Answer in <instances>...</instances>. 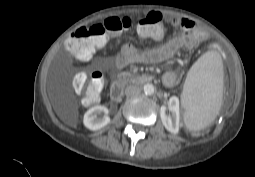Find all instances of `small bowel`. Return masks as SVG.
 Returning <instances> with one entry per match:
<instances>
[{"label":"small bowel","mask_w":255,"mask_h":177,"mask_svg":"<svg viewBox=\"0 0 255 177\" xmlns=\"http://www.w3.org/2000/svg\"><path fill=\"white\" fill-rule=\"evenodd\" d=\"M172 23L176 27L183 29V32L167 40L159 47L150 50L140 51L132 44L124 45L120 54L116 57V67L124 68L137 63H160L171 58L180 49L191 48L206 37L205 33L192 20L176 17L172 19ZM177 80L178 74L175 70L167 71L162 78L163 84L166 87H173Z\"/></svg>","instance_id":"obj_1"}]
</instances>
